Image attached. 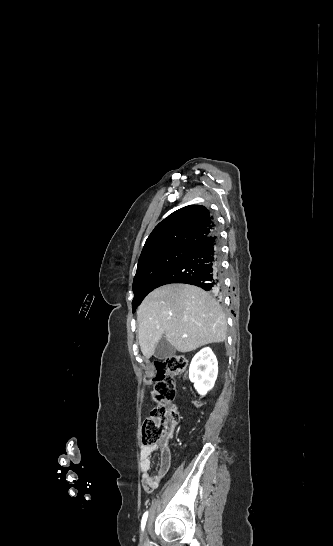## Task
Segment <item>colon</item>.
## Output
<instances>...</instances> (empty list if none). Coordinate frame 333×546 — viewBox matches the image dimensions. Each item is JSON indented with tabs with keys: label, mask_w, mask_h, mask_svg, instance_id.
<instances>
[{
	"label": "colon",
	"mask_w": 333,
	"mask_h": 546,
	"mask_svg": "<svg viewBox=\"0 0 333 546\" xmlns=\"http://www.w3.org/2000/svg\"><path fill=\"white\" fill-rule=\"evenodd\" d=\"M188 361L184 356L173 355L155 363L154 391L156 402L142 429V440L152 445L166 441L172 434L178 420L173 400L175 396V376L186 374Z\"/></svg>",
	"instance_id": "obj_1"
}]
</instances>
